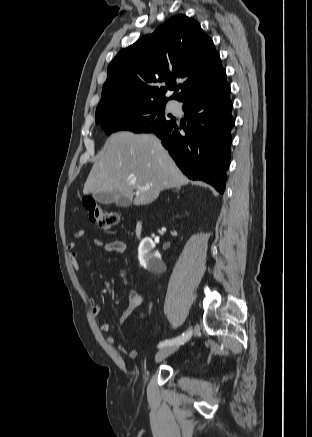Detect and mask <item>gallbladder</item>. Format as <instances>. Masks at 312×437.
<instances>
[{"label": "gallbladder", "mask_w": 312, "mask_h": 437, "mask_svg": "<svg viewBox=\"0 0 312 437\" xmlns=\"http://www.w3.org/2000/svg\"><path fill=\"white\" fill-rule=\"evenodd\" d=\"M93 198L96 202L101 204H111L116 201L119 206L127 207L131 203L130 200L125 197L115 200L114 192H96L93 194Z\"/></svg>", "instance_id": "gallbladder-1"}]
</instances>
